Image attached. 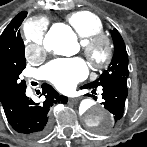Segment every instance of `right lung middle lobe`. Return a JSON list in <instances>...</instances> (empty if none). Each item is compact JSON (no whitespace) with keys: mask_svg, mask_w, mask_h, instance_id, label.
<instances>
[{"mask_svg":"<svg viewBox=\"0 0 147 147\" xmlns=\"http://www.w3.org/2000/svg\"><path fill=\"white\" fill-rule=\"evenodd\" d=\"M18 18L16 31L9 37V51L5 61L0 65V100L10 95L25 91L26 83L19 75L26 67L24 43L19 26L27 16L23 11ZM18 14V15H19Z\"/></svg>","mask_w":147,"mask_h":147,"instance_id":"dd1d6c3e","label":"right lung middle lobe"}]
</instances>
